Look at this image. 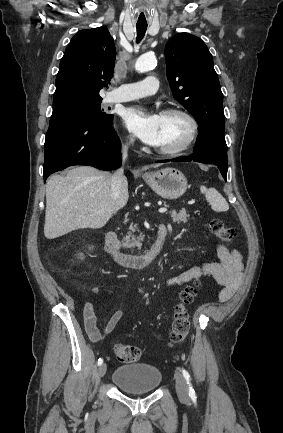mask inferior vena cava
Instances as JSON below:
<instances>
[{
  "label": "inferior vena cava",
  "instance_id": "1",
  "mask_svg": "<svg viewBox=\"0 0 283 433\" xmlns=\"http://www.w3.org/2000/svg\"><path fill=\"white\" fill-rule=\"evenodd\" d=\"M122 158L123 160L127 158V146H124L123 148ZM123 180H125L123 168H118V170H115L114 174H112L111 178V198H113V200H115V198H118Z\"/></svg>",
  "mask_w": 283,
  "mask_h": 433
}]
</instances>
